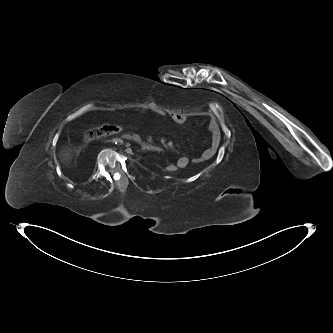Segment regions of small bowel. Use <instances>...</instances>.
Segmentation results:
<instances>
[{
	"instance_id": "c3829d8e",
	"label": "small bowel",
	"mask_w": 333,
	"mask_h": 333,
	"mask_svg": "<svg viewBox=\"0 0 333 333\" xmlns=\"http://www.w3.org/2000/svg\"><path fill=\"white\" fill-rule=\"evenodd\" d=\"M171 119L176 124H184L187 121V116L185 114L175 113L171 116ZM209 127L212 133L211 144L200 157L194 159L195 163H201L203 161L211 159L216 154L218 147L220 145V133L218 125L213 119H210ZM188 164H189V158L187 156H181L177 160L175 165L178 169V168H185Z\"/></svg>"
}]
</instances>
